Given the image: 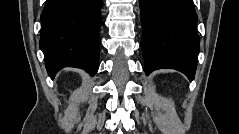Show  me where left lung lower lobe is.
<instances>
[{"instance_id":"obj_1","label":"left lung lower lobe","mask_w":239,"mask_h":134,"mask_svg":"<svg viewBox=\"0 0 239 134\" xmlns=\"http://www.w3.org/2000/svg\"><path fill=\"white\" fill-rule=\"evenodd\" d=\"M144 71L172 68L194 79L199 52L193 0H139Z\"/></svg>"}]
</instances>
